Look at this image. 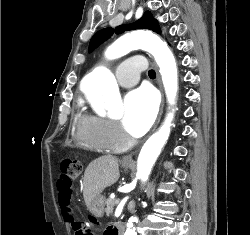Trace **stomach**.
<instances>
[{"instance_id": "stomach-1", "label": "stomach", "mask_w": 250, "mask_h": 235, "mask_svg": "<svg viewBox=\"0 0 250 235\" xmlns=\"http://www.w3.org/2000/svg\"><path fill=\"white\" fill-rule=\"evenodd\" d=\"M123 167L128 169L131 167L130 164H123ZM106 199L103 195H97L91 202L90 211L96 217H102L104 215Z\"/></svg>"}]
</instances>
